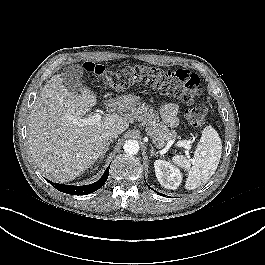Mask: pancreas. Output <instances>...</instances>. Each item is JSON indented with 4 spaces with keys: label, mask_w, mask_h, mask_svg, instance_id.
I'll return each mask as SVG.
<instances>
[{
    "label": "pancreas",
    "mask_w": 265,
    "mask_h": 265,
    "mask_svg": "<svg viewBox=\"0 0 265 265\" xmlns=\"http://www.w3.org/2000/svg\"><path fill=\"white\" fill-rule=\"evenodd\" d=\"M131 121L142 122L146 125V132L152 138L153 143L159 147H163L166 141L173 140L177 137V133L170 131L164 124L160 122L154 110L144 103H138L126 114Z\"/></svg>",
    "instance_id": "pancreas-1"
}]
</instances>
